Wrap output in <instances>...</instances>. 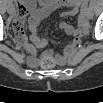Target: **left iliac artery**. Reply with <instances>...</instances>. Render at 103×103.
<instances>
[{"label": "left iliac artery", "instance_id": "left-iliac-artery-1", "mask_svg": "<svg viewBox=\"0 0 103 103\" xmlns=\"http://www.w3.org/2000/svg\"><path fill=\"white\" fill-rule=\"evenodd\" d=\"M94 5H95V2H94V1H91V2H90V8L94 7Z\"/></svg>", "mask_w": 103, "mask_h": 103}]
</instances>
